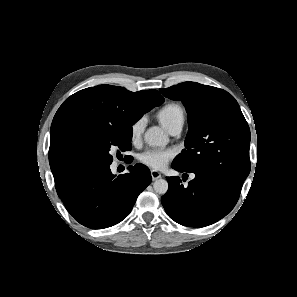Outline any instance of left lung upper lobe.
<instances>
[{
  "instance_id": "left-lung-upper-lobe-1",
  "label": "left lung upper lobe",
  "mask_w": 297,
  "mask_h": 297,
  "mask_svg": "<svg viewBox=\"0 0 297 297\" xmlns=\"http://www.w3.org/2000/svg\"><path fill=\"white\" fill-rule=\"evenodd\" d=\"M160 92L181 100L188 113L185 149L173 164L241 189L251 167L250 130L234 97L225 90L196 82L180 83Z\"/></svg>"
}]
</instances>
